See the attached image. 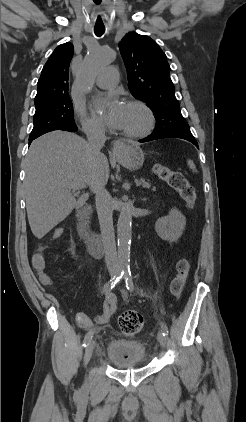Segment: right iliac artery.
<instances>
[{
	"label": "right iliac artery",
	"mask_w": 246,
	"mask_h": 422,
	"mask_svg": "<svg viewBox=\"0 0 246 422\" xmlns=\"http://www.w3.org/2000/svg\"><path fill=\"white\" fill-rule=\"evenodd\" d=\"M124 274V270L119 269L116 274L104 285L103 291L104 293L109 292L118 282L119 280L122 278ZM93 337V331H89L83 341V346H87L88 343L91 341Z\"/></svg>",
	"instance_id": "right-iliac-artery-1"
}]
</instances>
